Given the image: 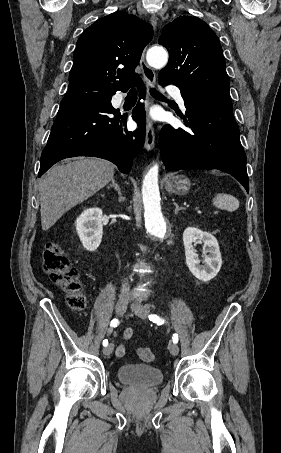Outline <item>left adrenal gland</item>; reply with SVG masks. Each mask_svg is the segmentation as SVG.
<instances>
[{
  "label": "left adrenal gland",
  "mask_w": 281,
  "mask_h": 453,
  "mask_svg": "<svg viewBox=\"0 0 281 453\" xmlns=\"http://www.w3.org/2000/svg\"><path fill=\"white\" fill-rule=\"evenodd\" d=\"M174 206H175V214H177L178 210H181V208H179V204H177V202H173Z\"/></svg>",
  "instance_id": "obj_1"
}]
</instances>
